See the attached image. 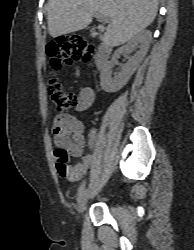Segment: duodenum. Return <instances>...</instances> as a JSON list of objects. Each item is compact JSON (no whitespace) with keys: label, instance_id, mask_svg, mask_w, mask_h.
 <instances>
[{"label":"duodenum","instance_id":"obj_1","mask_svg":"<svg viewBox=\"0 0 194 250\" xmlns=\"http://www.w3.org/2000/svg\"><path fill=\"white\" fill-rule=\"evenodd\" d=\"M111 51L112 47L107 41L102 40L99 43L97 54L95 57V65L97 68H102L105 66L110 57Z\"/></svg>","mask_w":194,"mask_h":250}]
</instances>
